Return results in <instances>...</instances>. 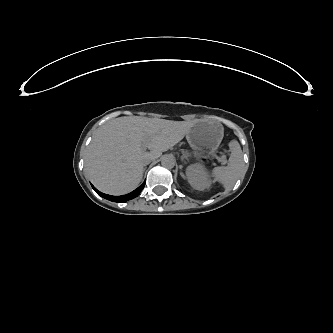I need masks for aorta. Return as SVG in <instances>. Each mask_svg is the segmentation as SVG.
<instances>
[{
  "label": "aorta",
  "mask_w": 333,
  "mask_h": 333,
  "mask_svg": "<svg viewBox=\"0 0 333 333\" xmlns=\"http://www.w3.org/2000/svg\"><path fill=\"white\" fill-rule=\"evenodd\" d=\"M176 160L174 155L166 154L161 158V165L165 168H173L175 166Z\"/></svg>",
  "instance_id": "obj_1"
}]
</instances>
